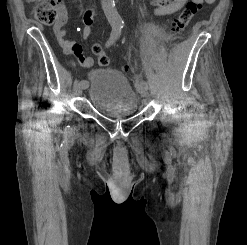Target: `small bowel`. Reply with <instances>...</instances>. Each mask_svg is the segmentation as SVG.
Returning a JSON list of instances; mask_svg holds the SVG:
<instances>
[{
  "label": "small bowel",
  "mask_w": 247,
  "mask_h": 245,
  "mask_svg": "<svg viewBox=\"0 0 247 245\" xmlns=\"http://www.w3.org/2000/svg\"><path fill=\"white\" fill-rule=\"evenodd\" d=\"M201 4L210 5L215 2V0H199ZM187 2V0H151L152 5L155 7L154 14L157 17H163L172 15L178 12ZM68 19L67 10L63 7H59V19L54 25V34L58 40V43L62 47L65 53H73L78 62L83 67H91L94 60L90 56H84L82 53V48L79 44L66 39V31L64 25ZM94 19V10L88 9L83 15L84 27L82 29V37L87 39L91 33V27Z\"/></svg>",
  "instance_id": "obj_1"
}]
</instances>
